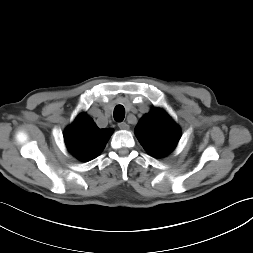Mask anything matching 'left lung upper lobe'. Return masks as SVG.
<instances>
[{"label": "left lung upper lobe", "mask_w": 253, "mask_h": 253, "mask_svg": "<svg viewBox=\"0 0 253 253\" xmlns=\"http://www.w3.org/2000/svg\"><path fill=\"white\" fill-rule=\"evenodd\" d=\"M135 134L151 156L164 157L176 147L180 128L164 110L154 108L139 120Z\"/></svg>", "instance_id": "5c2ea615"}]
</instances>
